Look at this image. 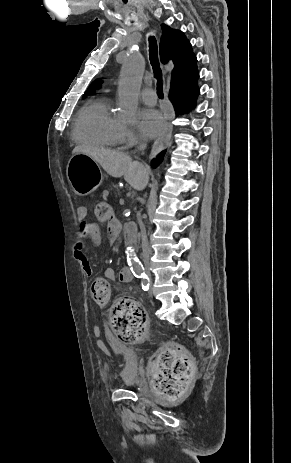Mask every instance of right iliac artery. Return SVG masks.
Instances as JSON below:
<instances>
[{
	"instance_id": "1",
	"label": "right iliac artery",
	"mask_w": 291,
	"mask_h": 463,
	"mask_svg": "<svg viewBox=\"0 0 291 463\" xmlns=\"http://www.w3.org/2000/svg\"><path fill=\"white\" fill-rule=\"evenodd\" d=\"M150 280L147 276L141 277V286L144 291L149 289Z\"/></svg>"
}]
</instances>
